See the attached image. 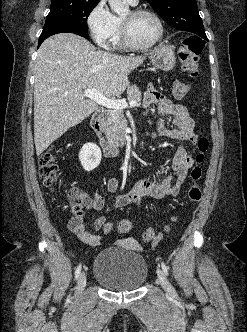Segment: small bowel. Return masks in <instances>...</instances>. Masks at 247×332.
Returning <instances> with one entry per match:
<instances>
[{"label": "small bowel", "instance_id": "small-bowel-1", "mask_svg": "<svg viewBox=\"0 0 247 332\" xmlns=\"http://www.w3.org/2000/svg\"><path fill=\"white\" fill-rule=\"evenodd\" d=\"M155 104L158 114L169 116L174 126L166 127L162 120H158L153 134L166 136L179 143L172 160L174 174L168 175L161 180L140 179L126 192H120L117 179L110 177L107 180V188L112 195V202H106L97 193L93 197H90L79 189H72L71 191L79 195L82 204L87 209L108 212L111 209L139 205L141 200L146 197L161 199L164 197H174L179 194L187 178L188 171L193 164V159L189 156L185 144L197 143L199 136L195 132V122L190 116L188 109L181 104L172 102L160 92L151 88L146 91L143 99L146 112ZM105 225L104 215H100L92 221V228L94 230H99ZM68 228L79 240L90 246H98L101 243L100 236L87 229L86 221L82 216L72 218L69 221Z\"/></svg>", "mask_w": 247, "mask_h": 332}]
</instances>
